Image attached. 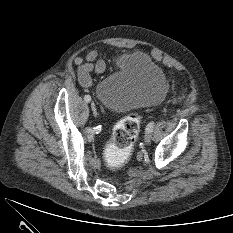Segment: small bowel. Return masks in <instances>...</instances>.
I'll list each match as a JSON object with an SVG mask.
<instances>
[{"label":"small bowel","instance_id":"c3829d8e","mask_svg":"<svg viewBox=\"0 0 233 233\" xmlns=\"http://www.w3.org/2000/svg\"><path fill=\"white\" fill-rule=\"evenodd\" d=\"M98 52L92 50L87 53L86 58L77 57L74 60L75 65L78 68V79L82 86L88 87L92 84L91 74L104 73L106 64L103 60L97 59Z\"/></svg>","mask_w":233,"mask_h":233}]
</instances>
